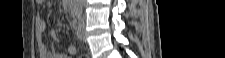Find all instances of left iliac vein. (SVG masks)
Here are the masks:
<instances>
[{
	"mask_svg": "<svg viewBox=\"0 0 225 58\" xmlns=\"http://www.w3.org/2000/svg\"><path fill=\"white\" fill-rule=\"evenodd\" d=\"M77 32H78V37L82 41H86V32H85L83 20L79 21V23H78V31Z\"/></svg>",
	"mask_w": 225,
	"mask_h": 58,
	"instance_id": "1",
	"label": "left iliac vein"
}]
</instances>
